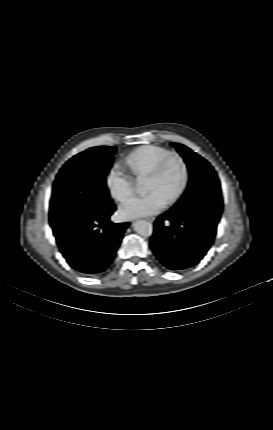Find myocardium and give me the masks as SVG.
I'll return each mask as SVG.
<instances>
[{
  "mask_svg": "<svg viewBox=\"0 0 273 430\" xmlns=\"http://www.w3.org/2000/svg\"><path fill=\"white\" fill-rule=\"evenodd\" d=\"M176 162L182 170V179L177 189L167 199L168 204L175 203L185 192L189 183V168L185 160L177 153H170L148 174L150 178H160L164 175L168 166Z\"/></svg>",
  "mask_w": 273,
  "mask_h": 430,
  "instance_id": "f54148a6",
  "label": "myocardium"
}]
</instances>
